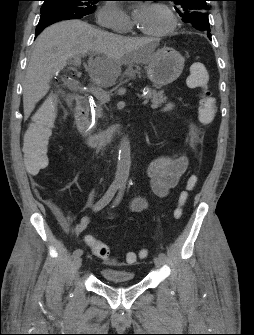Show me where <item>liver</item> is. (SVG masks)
I'll use <instances>...</instances> for the list:
<instances>
[{"instance_id":"liver-1","label":"liver","mask_w":254,"mask_h":335,"mask_svg":"<svg viewBox=\"0 0 254 335\" xmlns=\"http://www.w3.org/2000/svg\"><path fill=\"white\" fill-rule=\"evenodd\" d=\"M151 40L125 37L102 31L80 20H68L47 27L36 39L23 83L24 118L48 93L53 75L67 61L91 53V79L102 87L113 86L122 65L147 64L154 52Z\"/></svg>"}]
</instances>
